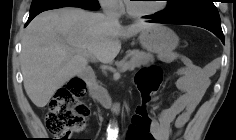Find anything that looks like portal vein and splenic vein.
Masks as SVG:
<instances>
[{"mask_svg":"<svg viewBox=\"0 0 236 140\" xmlns=\"http://www.w3.org/2000/svg\"><path fill=\"white\" fill-rule=\"evenodd\" d=\"M83 54H84L86 57H89V54L87 53V51H84ZM128 68H129V63H125V64L123 65V67L120 69V71H126Z\"/></svg>","mask_w":236,"mask_h":140,"instance_id":"portal-vein-and-splenic-vein-1","label":"portal vein and splenic vein"}]
</instances>
